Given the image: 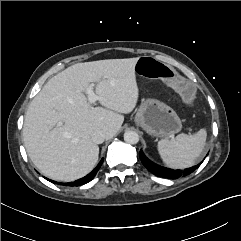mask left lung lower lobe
Here are the masks:
<instances>
[{"label":"left lung lower lobe","mask_w":241,"mask_h":241,"mask_svg":"<svg viewBox=\"0 0 241 241\" xmlns=\"http://www.w3.org/2000/svg\"><path fill=\"white\" fill-rule=\"evenodd\" d=\"M139 156L143 165L154 175L158 177H164V178H170V179H177L180 176H187L191 174L194 170H196L201 164L200 163L196 166L187 168L185 170H173V169L162 167L150 161L142 151L139 152Z\"/></svg>","instance_id":"0a47b994"}]
</instances>
